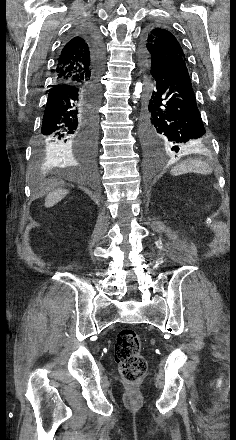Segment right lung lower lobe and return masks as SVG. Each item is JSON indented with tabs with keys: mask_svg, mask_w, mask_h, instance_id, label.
Listing matches in <instances>:
<instances>
[{
	"mask_svg": "<svg viewBox=\"0 0 236 440\" xmlns=\"http://www.w3.org/2000/svg\"><path fill=\"white\" fill-rule=\"evenodd\" d=\"M76 35L82 36L90 48L92 80L86 85L64 83L52 86L44 111L39 150L52 157L60 153L62 159L71 162L73 159L66 150L73 142L77 150L74 157L87 166H93L97 151V107L105 46L99 32L92 26L80 27Z\"/></svg>",
	"mask_w": 236,
	"mask_h": 440,
	"instance_id": "obj_1",
	"label": "right lung lower lobe"
}]
</instances>
